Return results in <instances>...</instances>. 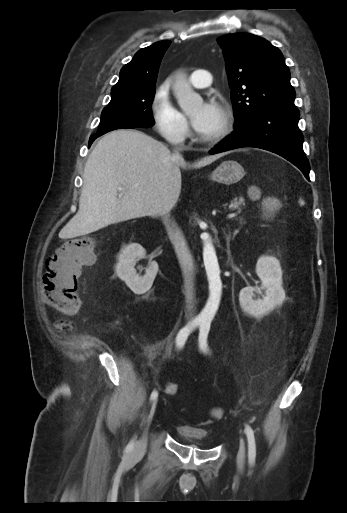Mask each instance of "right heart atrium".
Wrapping results in <instances>:
<instances>
[{
  "label": "right heart atrium",
  "mask_w": 347,
  "mask_h": 513,
  "mask_svg": "<svg viewBox=\"0 0 347 513\" xmlns=\"http://www.w3.org/2000/svg\"><path fill=\"white\" fill-rule=\"evenodd\" d=\"M150 113L156 132L169 144L181 145L190 134L189 122L173 103L170 84L162 82L154 91Z\"/></svg>",
  "instance_id": "1"
}]
</instances>
